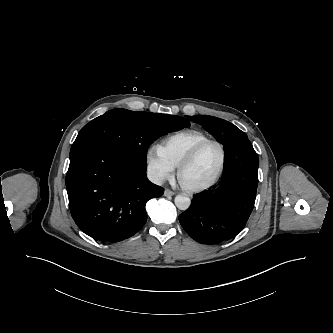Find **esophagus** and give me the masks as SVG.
<instances>
[{
	"instance_id": "1",
	"label": "esophagus",
	"mask_w": 333,
	"mask_h": 333,
	"mask_svg": "<svg viewBox=\"0 0 333 333\" xmlns=\"http://www.w3.org/2000/svg\"><path fill=\"white\" fill-rule=\"evenodd\" d=\"M174 194L175 193L170 189H165V191H164V196H166V197L173 196Z\"/></svg>"
}]
</instances>
